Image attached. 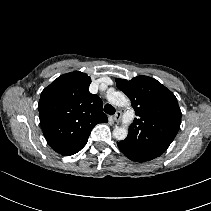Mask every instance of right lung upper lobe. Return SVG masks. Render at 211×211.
I'll use <instances>...</instances> for the list:
<instances>
[{
	"instance_id": "obj_1",
	"label": "right lung upper lobe",
	"mask_w": 211,
	"mask_h": 211,
	"mask_svg": "<svg viewBox=\"0 0 211 211\" xmlns=\"http://www.w3.org/2000/svg\"><path fill=\"white\" fill-rule=\"evenodd\" d=\"M90 83L87 74L75 71L61 75L41 93V128L48 144L61 155L80 151L92 128L108 121L102 100L89 92Z\"/></svg>"
}]
</instances>
